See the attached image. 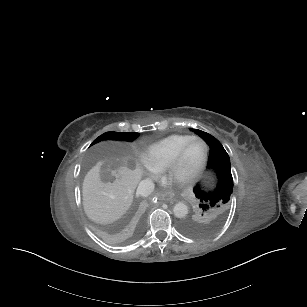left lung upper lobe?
Segmentation results:
<instances>
[{
	"label": "left lung upper lobe",
	"instance_id": "1",
	"mask_svg": "<svg viewBox=\"0 0 307 307\" xmlns=\"http://www.w3.org/2000/svg\"><path fill=\"white\" fill-rule=\"evenodd\" d=\"M205 140L209 147L208 167L215 170L217 184L213 190L205 191L200 185L193 192L199 207L194 219L185 220L182 230L193 236H205L214 233L223 223L233 193V178L230 158L222 144L212 135L198 129H191Z\"/></svg>",
	"mask_w": 307,
	"mask_h": 307
}]
</instances>
